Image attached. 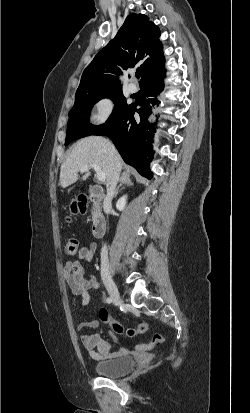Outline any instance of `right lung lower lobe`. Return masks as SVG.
<instances>
[{"label":"right lung lower lobe","mask_w":250,"mask_h":413,"mask_svg":"<svg viewBox=\"0 0 250 413\" xmlns=\"http://www.w3.org/2000/svg\"><path fill=\"white\" fill-rule=\"evenodd\" d=\"M164 70L153 73L141 82L143 100L136 109V104L125 107L104 127L92 135H106L112 138L123 160L136 168L144 177L151 179L153 173L149 164L153 159L151 148L153 132L157 125L154 120V106L159 104L158 94L164 87ZM139 113V118H134V112Z\"/></svg>","instance_id":"obj_1"}]
</instances>
